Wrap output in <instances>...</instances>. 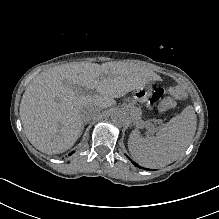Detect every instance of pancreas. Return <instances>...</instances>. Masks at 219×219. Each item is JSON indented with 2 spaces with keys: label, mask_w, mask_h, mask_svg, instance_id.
I'll use <instances>...</instances> for the list:
<instances>
[{
  "label": "pancreas",
  "mask_w": 219,
  "mask_h": 219,
  "mask_svg": "<svg viewBox=\"0 0 219 219\" xmlns=\"http://www.w3.org/2000/svg\"><path fill=\"white\" fill-rule=\"evenodd\" d=\"M146 124H148V126L150 125V121H148V122H145V124L144 125H146Z\"/></svg>",
  "instance_id": "pancreas-1"
}]
</instances>
